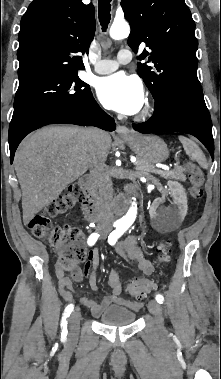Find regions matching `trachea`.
Segmentation results:
<instances>
[{
  "mask_svg": "<svg viewBox=\"0 0 221 379\" xmlns=\"http://www.w3.org/2000/svg\"><path fill=\"white\" fill-rule=\"evenodd\" d=\"M99 1V21L102 26V30L105 32L111 19V0H98Z\"/></svg>",
  "mask_w": 221,
  "mask_h": 379,
  "instance_id": "trachea-1",
  "label": "trachea"
}]
</instances>
